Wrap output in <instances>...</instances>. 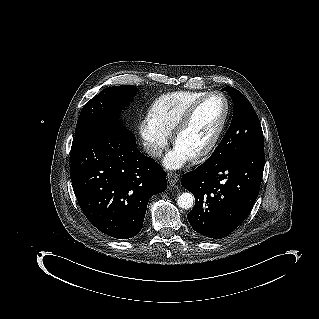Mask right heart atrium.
<instances>
[{
  "instance_id": "obj_1",
  "label": "right heart atrium",
  "mask_w": 319,
  "mask_h": 319,
  "mask_svg": "<svg viewBox=\"0 0 319 319\" xmlns=\"http://www.w3.org/2000/svg\"><path fill=\"white\" fill-rule=\"evenodd\" d=\"M140 131L148 153L152 157L160 156L168 143L167 133L148 121L141 125Z\"/></svg>"
}]
</instances>
